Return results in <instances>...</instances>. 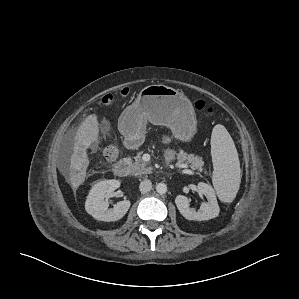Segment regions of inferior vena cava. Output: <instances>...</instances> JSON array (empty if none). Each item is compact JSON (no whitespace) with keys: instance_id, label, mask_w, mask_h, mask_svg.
<instances>
[{"instance_id":"1","label":"inferior vena cava","mask_w":299,"mask_h":299,"mask_svg":"<svg viewBox=\"0 0 299 299\" xmlns=\"http://www.w3.org/2000/svg\"><path fill=\"white\" fill-rule=\"evenodd\" d=\"M152 188V183L149 179H145L140 182L139 189L142 193L150 191Z\"/></svg>"}]
</instances>
